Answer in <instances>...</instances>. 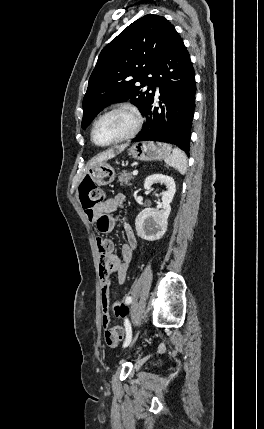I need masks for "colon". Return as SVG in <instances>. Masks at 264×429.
<instances>
[{"mask_svg": "<svg viewBox=\"0 0 264 429\" xmlns=\"http://www.w3.org/2000/svg\"><path fill=\"white\" fill-rule=\"evenodd\" d=\"M79 199L84 211L92 213L95 207L104 201L105 193L90 178H86L79 186ZM112 309L114 314L120 318L125 317L129 312L128 307L120 300L113 302ZM118 334L122 336L121 332Z\"/></svg>", "mask_w": 264, "mask_h": 429, "instance_id": "colon-1", "label": "colon"}]
</instances>
